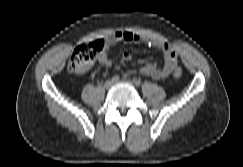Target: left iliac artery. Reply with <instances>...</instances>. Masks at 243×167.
Here are the masks:
<instances>
[{"label": "left iliac artery", "mask_w": 243, "mask_h": 167, "mask_svg": "<svg viewBox=\"0 0 243 167\" xmlns=\"http://www.w3.org/2000/svg\"><path fill=\"white\" fill-rule=\"evenodd\" d=\"M134 83L136 86L141 85V80L140 79H134Z\"/></svg>", "instance_id": "44dca946"}]
</instances>
